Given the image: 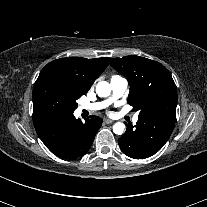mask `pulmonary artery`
Listing matches in <instances>:
<instances>
[{"instance_id":"pulmonary-artery-1","label":"pulmonary artery","mask_w":207,"mask_h":207,"mask_svg":"<svg viewBox=\"0 0 207 207\" xmlns=\"http://www.w3.org/2000/svg\"><path fill=\"white\" fill-rule=\"evenodd\" d=\"M110 83H111V88H112V95L109 98L101 102H96L93 104H87V105L81 106L79 108V112H82L83 110H89V111L100 110L102 108H105L109 104H111L114 100L124 95L127 89V86H128V82L125 78L115 75L111 78ZM138 120H139L138 116H134L132 119L134 123H137Z\"/></svg>"}]
</instances>
